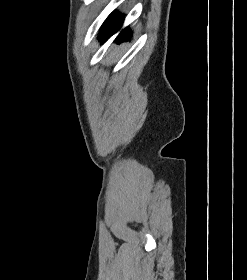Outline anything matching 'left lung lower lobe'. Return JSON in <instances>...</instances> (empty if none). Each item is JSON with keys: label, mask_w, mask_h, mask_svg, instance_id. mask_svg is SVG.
Segmentation results:
<instances>
[{"label": "left lung lower lobe", "mask_w": 247, "mask_h": 280, "mask_svg": "<svg viewBox=\"0 0 247 280\" xmlns=\"http://www.w3.org/2000/svg\"><path fill=\"white\" fill-rule=\"evenodd\" d=\"M123 21L124 19L122 15L118 14L117 12H112L102 26L100 41L104 42L114 33H116L123 24ZM129 37L130 32L124 29L120 32L117 42L120 43L121 41L126 40V38Z\"/></svg>", "instance_id": "1"}]
</instances>
